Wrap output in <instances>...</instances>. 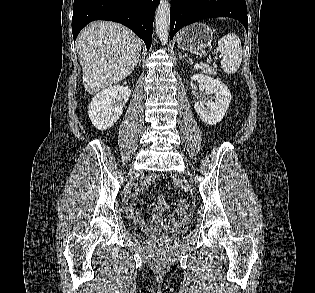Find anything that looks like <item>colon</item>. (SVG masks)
Returning <instances> with one entry per match:
<instances>
[{"instance_id": "obj_1", "label": "colon", "mask_w": 315, "mask_h": 293, "mask_svg": "<svg viewBox=\"0 0 315 293\" xmlns=\"http://www.w3.org/2000/svg\"><path fill=\"white\" fill-rule=\"evenodd\" d=\"M177 211H185L188 208V202L184 199L176 201Z\"/></svg>"}]
</instances>
